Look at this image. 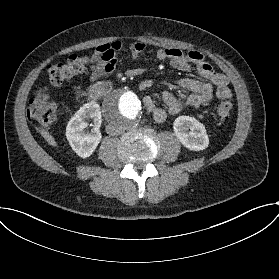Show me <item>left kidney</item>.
Returning <instances> with one entry per match:
<instances>
[{
  "instance_id": "1",
  "label": "left kidney",
  "mask_w": 279,
  "mask_h": 279,
  "mask_svg": "<svg viewBox=\"0 0 279 279\" xmlns=\"http://www.w3.org/2000/svg\"><path fill=\"white\" fill-rule=\"evenodd\" d=\"M173 129L184 148L198 152L209 147L210 140L206 127L194 117H177L173 122Z\"/></svg>"
}]
</instances>
